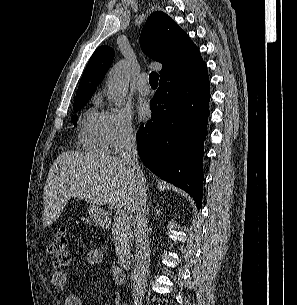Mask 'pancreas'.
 <instances>
[{
	"mask_svg": "<svg viewBox=\"0 0 297 305\" xmlns=\"http://www.w3.org/2000/svg\"><path fill=\"white\" fill-rule=\"evenodd\" d=\"M112 234L113 240L115 241L116 253L117 255H120L124 250L128 249L133 240L130 220L116 218L114 220Z\"/></svg>",
	"mask_w": 297,
	"mask_h": 305,
	"instance_id": "1",
	"label": "pancreas"
}]
</instances>
